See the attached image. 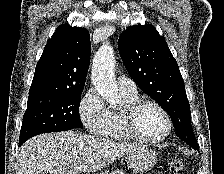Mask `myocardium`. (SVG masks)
Masks as SVG:
<instances>
[{"label": "myocardium", "instance_id": "obj_1", "mask_svg": "<svg viewBox=\"0 0 224 174\" xmlns=\"http://www.w3.org/2000/svg\"><path fill=\"white\" fill-rule=\"evenodd\" d=\"M151 105L160 111L166 120L165 132L157 138H148L143 136L137 129L136 117L139 110L145 106ZM120 120L125 132L132 138L144 143H160L164 141L172 131V119L166 109L158 102L151 99H137L131 103L124 105L120 110Z\"/></svg>", "mask_w": 224, "mask_h": 174}]
</instances>
